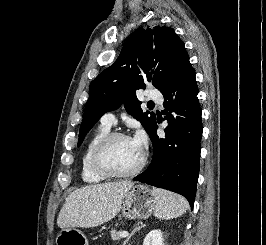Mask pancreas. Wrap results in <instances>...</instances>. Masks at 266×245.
I'll list each match as a JSON object with an SVG mask.
<instances>
[{"instance_id": "1", "label": "pancreas", "mask_w": 266, "mask_h": 245, "mask_svg": "<svg viewBox=\"0 0 266 245\" xmlns=\"http://www.w3.org/2000/svg\"><path fill=\"white\" fill-rule=\"evenodd\" d=\"M121 231H110L112 241H120L122 237H120Z\"/></svg>"}]
</instances>
